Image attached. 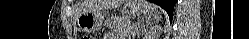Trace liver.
<instances>
[{"label":"liver","instance_id":"6515ba94","mask_svg":"<svg viewBox=\"0 0 249 39\" xmlns=\"http://www.w3.org/2000/svg\"><path fill=\"white\" fill-rule=\"evenodd\" d=\"M124 0H84L78 10V16L95 9H111L120 7Z\"/></svg>","mask_w":249,"mask_h":39}]
</instances>
